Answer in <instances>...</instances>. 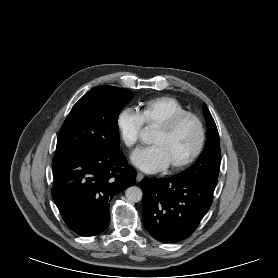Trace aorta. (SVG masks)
<instances>
[{"label":"aorta","mask_w":278,"mask_h":278,"mask_svg":"<svg viewBox=\"0 0 278 278\" xmlns=\"http://www.w3.org/2000/svg\"><path fill=\"white\" fill-rule=\"evenodd\" d=\"M143 141L147 142L149 138V129L146 127L140 134ZM125 196L127 200L131 203H136L142 200V190L139 187L132 186L126 189Z\"/></svg>","instance_id":"obj_1"}]
</instances>
